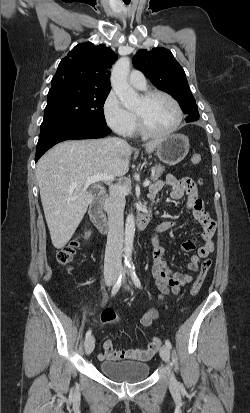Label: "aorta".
Listing matches in <instances>:
<instances>
[{"mask_svg": "<svg viewBox=\"0 0 250 413\" xmlns=\"http://www.w3.org/2000/svg\"><path fill=\"white\" fill-rule=\"evenodd\" d=\"M130 71V59L120 58L111 72V85L118 98L126 108H133L139 101V95L129 85L127 78ZM135 236V219L132 213L128 214L125 225V262L130 263L133 241Z\"/></svg>", "mask_w": 250, "mask_h": 413, "instance_id": "aorta-1", "label": "aorta"}]
</instances>
